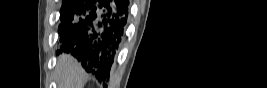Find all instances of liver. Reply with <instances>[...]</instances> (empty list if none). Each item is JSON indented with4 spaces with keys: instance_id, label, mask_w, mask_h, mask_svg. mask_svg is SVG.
I'll return each mask as SVG.
<instances>
[{
    "instance_id": "liver-1",
    "label": "liver",
    "mask_w": 267,
    "mask_h": 88,
    "mask_svg": "<svg viewBox=\"0 0 267 88\" xmlns=\"http://www.w3.org/2000/svg\"><path fill=\"white\" fill-rule=\"evenodd\" d=\"M58 88H84L86 72L70 54H61L55 68Z\"/></svg>"
}]
</instances>
